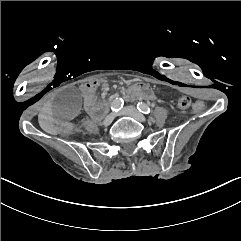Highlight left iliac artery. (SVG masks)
<instances>
[{"instance_id": "left-iliac-artery-1", "label": "left iliac artery", "mask_w": 241, "mask_h": 241, "mask_svg": "<svg viewBox=\"0 0 241 241\" xmlns=\"http://www.w3.org/2000/svg\"><path fill=\"white\" fill-rule=\"evenodd\" d=\"M137 109L144 114H149L151 112L150 107L147 106L145 103H142V102H139L137 104Z\"/></svg>"}]
</instances>
